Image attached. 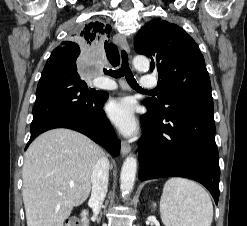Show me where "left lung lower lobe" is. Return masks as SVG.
<instances>
[{"label":"left lung lower lobe","instance_id":"obj_1","mask_svg":"<svg viewBox=\"0 0 247 226\" xmlns=\"http://www.w3.org/2000/svg\"><path fill=\"white\" fill-rule=\"evenodd\" d=\"M146 106L138 142L139 179L190 178L203 184L217 204L220 168L211 90L177 92L162 112Z\"/></svg>","mask_w":247,"mask_h":226}]
</instances>
